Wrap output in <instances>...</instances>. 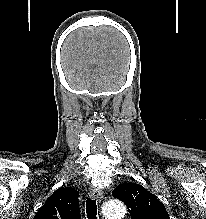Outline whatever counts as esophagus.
Here are the masks:
<instances>
[{"instance_id":"1","label":"esophagus","mask_w":206,"mask_h":219,"mask_svg":"<svg viewBox=\"0 0 206 219\" xmlns=\"http://www.w3.org/2000/svg\"><path fill=\"white\" fill-rule=\"evenodd\" d=\"M90 197L92 199H97L98 201H101L102 198H103V193L101 190L97 189V188H93L91 191H90Z\"/></svg>"}]
</instances>
